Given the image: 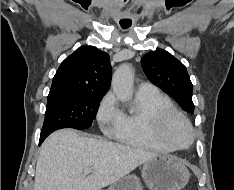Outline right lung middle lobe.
Returning a JSON list of instances; mask_svg holds the SVG:
<instances>
[{
  "mask_svg": "<svg viewBox=\"0 0 234 190\" xmlns=\"http://www.w3.org/2000/svg\"><path fill=\"white\" fill-rule=\"evenodd\" d=\"M101 99V96L50 90L40 136L47 137L61 128H89Z\"/></svg>",
  "mask_w": 234,
  "mask_h": 190,
  "instance_id": "dd1d6c3e",
  "label": "right lung middle lobe"
}]
</instances>
